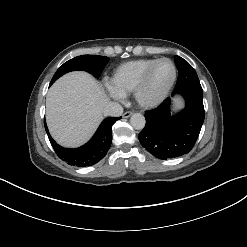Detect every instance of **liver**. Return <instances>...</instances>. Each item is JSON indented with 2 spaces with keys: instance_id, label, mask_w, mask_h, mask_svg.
I'll return each mask as SVG.
<instances>
[{
  "instance_id": "1",
  "label": "liver",
  "mask_w": 247,
  "mask_h": 247,
  "mask_svg": "<svg viewBox=\"0 0 247 247\" xmlns=\"http://www.w3.org/2000/svg\"><path fill=\"white\" fill-rule=\"evenodd\" d=\"M108 99L88 73L76 71L59 78L49 89L46 121L52 137L62 146L77 147L94 133Z\"/></svg>"
}]
</instances>
